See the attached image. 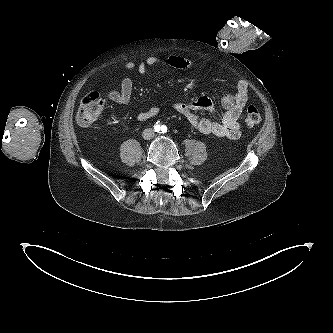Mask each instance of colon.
<instances>
[{"mask_svg":"<svg viewBox=\"0 0 333 333\" xmlns=\"http://www.w3.org/2000/svg\"><path fill=\"white\" fill-rule=\"evenodd\" d=\"M103 107L104 102L100 93L96 90L89 91L81 100L76 116L77 122L83 126L92 124L101 115ZM244 121L249 127H256L261 123L262 116L256 106H248Z\"/></svg>","mask_w":333,"mask_h":333,"instance_id":"5ec220e1","label":"colon"}]
</instances>
